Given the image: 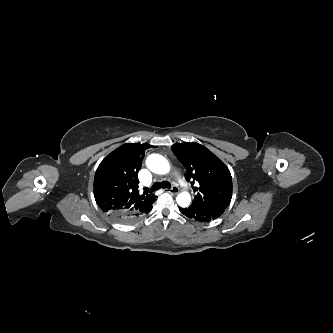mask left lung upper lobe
Here are the masks:
<instances>
[{
	"label": "left lung upper lobe",
	"mask_w": 333,
	"mask_h": 333,
	"mask_svg": "<svg viewBox=\"0 0 333 333\" xmlns=\"http://www.w3.org/2000/svg\"><path fill=\"white\" fill-rule=\"evenodd\" d=\"M172 151L185 166L187 181H197L192 203L226 209L232 197V177L227 166L205 146L175 143Z\"/></svg>",
	"instance_id": "5c2ea615"
}]
</instances>
